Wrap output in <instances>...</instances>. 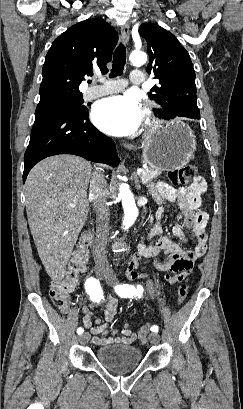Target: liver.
<instances>
[{
	"label": "liver",
	"mask_w": 243,
	"mask_h": 409,
	"mask_svg": "<svg viewBox=\"0 0 243 409\" xmlns=\"http://www.w3.org/2000/svg\"><path fill=\"white\" fill-rule=\"evenodd\" d=\"M92 166L74 155L40 161L25 182L26 212L47 274L60 282L89 212L87 187Z\"/></svg>",
	"instance_id": "liver-1"
}]
</instances>
